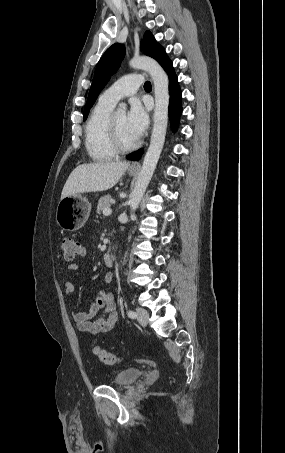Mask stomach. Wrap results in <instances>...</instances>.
Here are the masks:
<instances>
[{
	"label": "stomach",
	"instance_id": "obj_1",
	"mask_svg": "<svg viewBox=\"0 0 285 453\" xmlns=\"http://www.w3.org/2000/svg\"><path fill=\"white\" fill-rule=\"evenodd\" d=\"M128 174L134 176L136 171L129 169ZM91 204L81 195H71L61 199L57 205L56 221L66 231H76L87 221Z\"/></svg>",
	"mask_w": 285,
	"mask_h": 453
}]
</instances>
